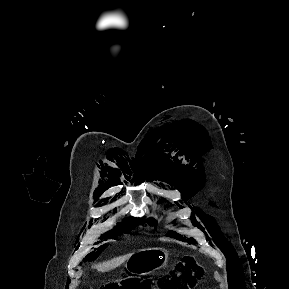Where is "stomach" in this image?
<instances>
[{
    "instance_id": "1",
    "label": "stomach",
    "mask_w": 289,
    "mask_h": 289,
    "mask_svg": "<svg viewBox=\"0 0 289 289\" xmlns=\"http://www.w3.org/2000/svg\"><path fill=\"white\" fill-rule=\"evenodd\" d=\"M168 252L162 248H147L130 256L125 263V269L131 274L147 275L164 266Z\"/></svg>"
}]
</instances>
